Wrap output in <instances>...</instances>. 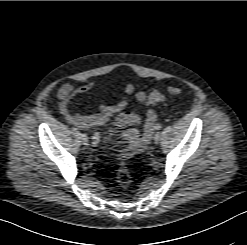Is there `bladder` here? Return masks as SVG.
Returning <instances> with one entry per match:
<instances>
[{
    "label": "bladder",
    "mask_w": 247,
    "mask_h": 245,
    "mask_svg": "<svg viewBox=\"0 0 247 245\" xmlns=\"http://www.w3.org/2000/svg\"><path fill=\"white\" fill-rule=\"evenodd\" d=\"M110 144H111V146L116 147L118 145V140L111 139Z\"/></svg>",
    "instance_id": "bladder-1"
}]
</instances>
